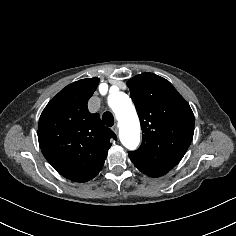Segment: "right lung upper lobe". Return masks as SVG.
<instances>
[{
  "instance_id": "right-lung-upper-lobe-1",
  "label": "right lung upper lobe",
  "mask_w": 236,
  "mask_h": 236,
  "mask_svg": "<svg viewBox=\"0 0 236 236\" xmlns=\"http://www.w3.org/2000/svg\"><path fill=\"white\" fill-rule=\"evenodd\" d=\"M99 78L73 82L45 107L38 124V140L47 161L64 177L86 182L95 177L107 157L110 139H116L87 103Z\"/></svg>"
}]
</instances>
